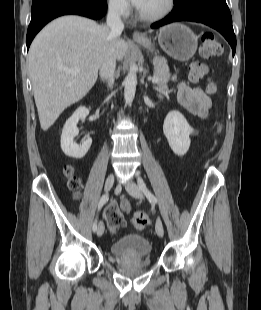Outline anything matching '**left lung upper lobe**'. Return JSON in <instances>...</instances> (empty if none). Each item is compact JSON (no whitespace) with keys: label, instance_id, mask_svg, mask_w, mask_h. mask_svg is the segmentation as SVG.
<instances>
[{"label":"left lung upper lobe","instance_id":"1","mask_svg":"<svg viewBox=\"0 0 261 310\" xmlns=\"http://www.w3.org/2000/svg\"><path fill=\"white\" fill-rule=\"evenodd\" d=\"M188 0H174V5L175 6H179L182 5L183 3H185Z\"/></svg>","mask_w":261,"mask_h":310}]
</instances>
